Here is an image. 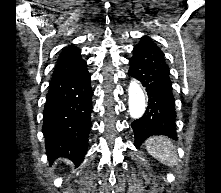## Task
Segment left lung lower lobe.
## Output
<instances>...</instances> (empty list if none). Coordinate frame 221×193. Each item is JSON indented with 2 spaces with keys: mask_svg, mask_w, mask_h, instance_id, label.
<instances>
[{
  "mask_svg": "<svg viewBox=\"0 0 221 193\" xmlns=\"http://www.w3.org/2000/svg\"><path fill=\"white\" fill-rule=\"evenodd\" d=\"M129 65V76L139 80L148 95L144 115L132 123L136 147L152 135L175 139V99L163 52L155 44L140 41L133 49Z\"/></svg>",
  "mask_w": 221,
  "mask_h": 193,
  "instance_id": "obj_1",
  "label": "left lung lower lobe"
}]
</instances>
